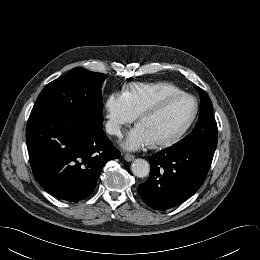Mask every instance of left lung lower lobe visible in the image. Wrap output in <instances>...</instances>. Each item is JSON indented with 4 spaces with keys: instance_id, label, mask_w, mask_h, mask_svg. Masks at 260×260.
Returning <instances> with one entry per match:
<instances>
[{
    "instance_id": "0a47b994",
    "label": "left lung lower lobe",
    "mask_w": 260,
    "mask_h": 260,
    "mask_svg": "<svg viewBox=\"0 0 260 260\" xmlns=\"http://www.w3.org/2000/svg\"><path fill=\"white\" fill-rule=\"evenodd\" d=\"M215 150L173 146L149 157V178L138 187L143 201L154 210L173 208L203 184Z\"/></svg>"
}]
</instances>
